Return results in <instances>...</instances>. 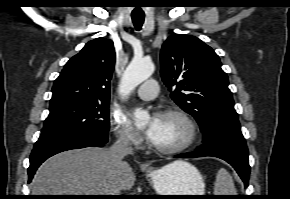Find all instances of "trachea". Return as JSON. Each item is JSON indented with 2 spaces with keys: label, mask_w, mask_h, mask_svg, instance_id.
<instances>
[{
  "label": "trachea",
  "mask_w": 290,
  "mask_h": 199,
  "mask_svg": "<svg viewBox=\"0 0 290 199\" xmlns=\"http://www.w3.org/2000/svg\"><path fill=\"white\" fill-rule=\"evenodd\" d=\"M132 21L136 30H140L144 22V15H132Z\"/></svg>",
  "instance_id": "obj_1"
}]
</instances>
